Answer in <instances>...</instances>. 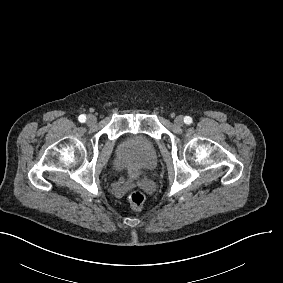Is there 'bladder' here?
Here are the masks:
<instances>
[{
  "instance_id": "obj_1",
  "label": "bladder",
  "mask_w": 283,
  "mask_h": 283,
  "mask_svg": "<svg viewBox=\"0 0 283 283\" xmlns=\"http://www.w3.org/2000/svg\"><path fill=\"white\" fill-rule=\"evenodd\" d=\"M115 161L124 170L121 174L125 178L143 179L157 168L159 158L156 143L147 134L127 133L116 145Z\"/></svg>"
}]
</instances>
